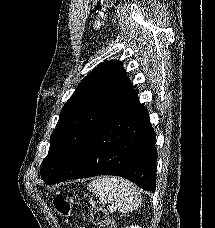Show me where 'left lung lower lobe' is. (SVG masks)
Masks as SVG:
<instances>
[{
  "instance_id": "1",
  "label": "left lung lower lobe",
  "mask_w": 215,
  "mask_h": 228,
  "mask_svg": "<svg viewBox=\"0 0 215 228\" xmlns=\"http://www.w3.org/2000/svg\"><path fill=\"white\" fill-rule=\"evenodd\" d=\"M134 94L94 133L48 185L97 175L127 178L144 190L156 185L155 132L148 111Z\"/></svg>"
}]
</instances>
